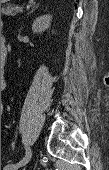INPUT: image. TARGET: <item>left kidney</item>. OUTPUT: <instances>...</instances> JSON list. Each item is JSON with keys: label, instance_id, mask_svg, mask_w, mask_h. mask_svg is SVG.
<instances>
[{"label": "left kidney", "instance_id": "left-kidney-1", "mask_svg": "<svg viewBox=\"0 0 109 170\" xmlns=\"http://www.w3.org/2000/svg\"><path fill=\"white\" fill-rule=\"evenodd\" d=\"M50 24H51V16L42 15L33 22L32 31L34 33L44 32L46 29L50 27Z\"/></svg>", "mask_w": 109, "mask_h": 170}]
</instances>
